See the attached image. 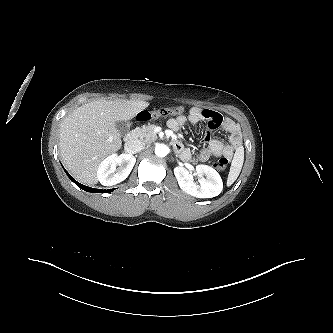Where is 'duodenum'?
<instances>
[{
    "label": "duodenum",
    "mask_w": 333,
    "mask_h": 333,
    "mask_svg": "<svg viewBox=\"0 0 333 333\" xmlns=\"http://www.w3.org/2000/svg\"><path fill=\"white\" fill-rule=\"evenodd\" d=\"M139 139V130L133 129L125 137L126 148L131 150Z\"/></svg>",
    "instance_id": "410a0bca"
}]
</instances>
